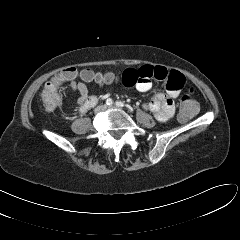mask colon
Instances as JSON below:
<instances>
[{
	"label": "colon",
	"mask_w": 240,
	"mask_h": 240,
	"mask_svg": "<svg viewBox=\"0 0 240 240\" xmlns=\"http://www.w3.org/2000/svg\"><path fill=\"white\" fill-rule=\"evenodd\" d=\"M85 71L79 72L76 68H67L58 73L51 81H49L41 94L43 104L47 110H54L60 104V97L57 91L58 85L61 82L69 81L83 76ZM198 110L196 100L188 94H184L180 101L179 116L183 121L193 118Z\"/></svg>",
	"instance_id": "5ec220e1"
}]
</instances>
